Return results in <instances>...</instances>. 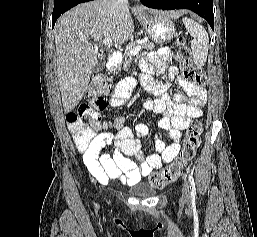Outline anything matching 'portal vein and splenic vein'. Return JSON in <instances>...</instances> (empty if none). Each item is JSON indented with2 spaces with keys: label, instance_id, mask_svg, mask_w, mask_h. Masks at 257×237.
Masks as SVG:
<instances>
[{
  "label": "portal vein and splenic vein",
  "instance_id": "18ae733b",
  "mask_svg": "<svg viewBox=\"0 0 257 237\" xmlns=\"http://www.w3.org/2000/svg\"><path fill=\"white\" fill-rule=\"evenodd\" d=\"M99 44H103L105 46H112L113 45V41L110 39V38H104L103 40L101 41H98ZM98 43H95V44H91V43H88L86 42L87 45H90L92 46L93 48L97 49L98 48ZM141 50V45H137L134 49H132L130 51V54L133 56V55H136L139 53V51Z\"/></svg>",
  "mask_w": 257,
  "mask_h": 237
}]
</instances>
